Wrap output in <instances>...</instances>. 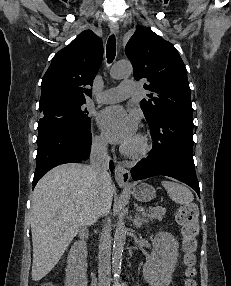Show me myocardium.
Segmentation results:
<instances>
[{"label":"myocardium","mask_w":231,"mask_h":286,"mask_svg":"<svg viewBox=\"0 0 231 286\" xmlns=\"http://www.w3.org/2000/svg\"><path fill=\"white\" fill-rule=\"evenodd\" d=\"M138 145L135 148H129L127 146L122 147V152L126 156L132 159H142L144 158L151 150V144L149 138L144 134H138Z\"/></svg>","instance_id":"f54148a6"}]
</instances>
